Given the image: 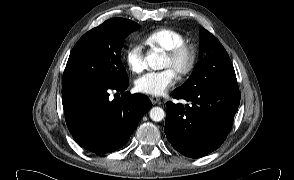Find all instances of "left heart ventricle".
I'll return each instance as SVG.
<instances>
[{"mask_svg":"<svg viewBox=\"0 0 294 180\" xmlns=\"http://www.w3.org/2000/svg\"><path fill=\"white\" fill-rule=\"evenodd\" d=\"M185 59H181L178 62L171 61L167 56L164 57L163 67L172 69L176 74L178 70L184 65Z\"/></svg>","mask_w":294,"mask_h":180,"instance_id":"1","label":"left heart ventricle"}]
</instances>
